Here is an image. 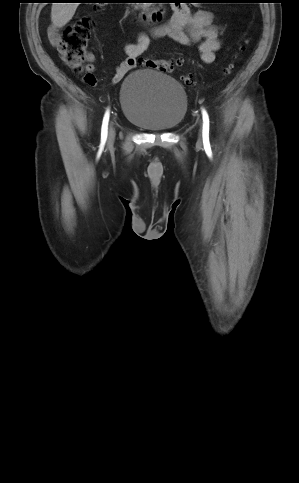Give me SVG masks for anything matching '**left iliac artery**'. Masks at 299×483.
Returning a JSON list of instances; mask_svg holds the SVG:
<instances>
[{
  "mask_svg": "<svg viewBox=\"0 0 299 483\" xmlns=\"http://www.w3.org/2000/svg\"><path fill=\"white\" fill-rule=\"evenodd\" d=\"M202 115H203V137L208 138L209 136V117L207 112L203 109L202 110Z\"/></svg>",
  "mask_w": 299,
  "mask_h": 483,
  "instance_id": "obj_1",
  "label": "left iliac artery"
}]
</instances>
